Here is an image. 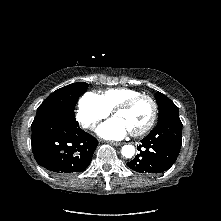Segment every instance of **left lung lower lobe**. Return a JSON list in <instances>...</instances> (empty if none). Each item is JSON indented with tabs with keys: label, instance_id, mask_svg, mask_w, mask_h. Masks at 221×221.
<instances>
[{
	"label": "left lung lower lobe",
	"instance_id": "1",
	"mask_svg": "<svg viewBox=\"0 0 221 221\" xmlns=\"http://www.w3.org/2000/svg\"><path fill=\"white\" fill-rule=\"evenodd\" d=\"M140 151L127 166L139 173H161L175 163L182 144V122L168 120L141 140Z\"/></svg>",
	"mask_w": 221,
	"mask_h": 221
}]
</instances>
